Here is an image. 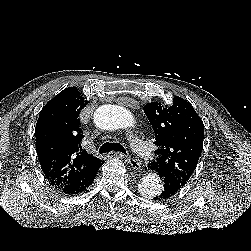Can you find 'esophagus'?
Instances as JSON below:
<instances>
[{
  "label": "esophagus",
  "mask_w": 251,
  "mask_h": 251,
  "mask_svg": "<svg viewBox=\"0 0 251 251\" xmlns=\"http://www.w3.org/2000/svg\"><path fill=\"white\" fill-rule=\"evenodd\" d=\"M116 154L121 156V157L124 156L120 152H117ZM127 161H128V164L132 167V169H134L137 172L141 171V162H140V160H138L137 158H135L133 156H129V157H127Z\"/></svg>",
  "instance_id": "obj_1"
}]
</instances>
